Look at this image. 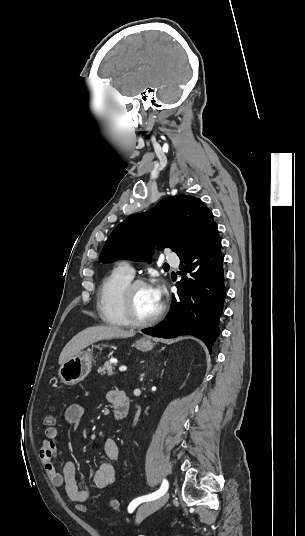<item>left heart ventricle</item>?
Returning <instances> with one entry per match:
<instances>
[{"instance_id": "b2bd125f", "label": "left heart ventricle", "mask_w": 305, "mask_h": 536, "mask_svg": "<svg viewBox=\"0 0 305 536\" xmlns=\"http://www.w3.org/2000/svg\"><path fill=\"white\" fill-rule=\"evenodd\" d=\"M131 302L134 312L141 317L155 313L160 306V303L155 302L153 298V287L151 285L136 287L132 292Z\"/></svg>"}]
</instances>
